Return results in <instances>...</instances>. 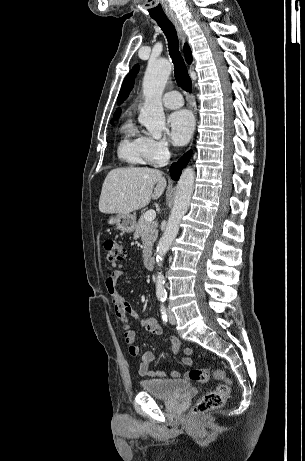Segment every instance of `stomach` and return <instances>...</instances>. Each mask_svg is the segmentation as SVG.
<instances>
[{"label": "stomach", "instance_id": "1", "mask_svg": "<svg viewBox=\"0 0 305 461\" xmlns=\"http://www.w3.org/2000/svg\"><path fill=\"white\" fill-rule=\"evenodd\" d=\"M108 224L115 225L121 232L132 233L136 227V218L131 214H116L109 217Z\"/></svg>", "mask_w": 305, "mask_h": 461}]
</instances>
